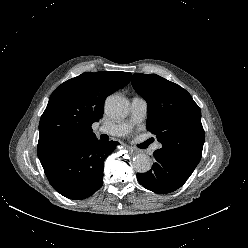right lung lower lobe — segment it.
Here are the masks:
<instances>
[{
  "label": "right lung lower lobe",
  "mask_w": 248,
  "mask_h": 248,
  "mask_svg": "<svg viewBox=\"0 0 248 248\" xmlns=\"http://www.w3.org/2000/svg\"><path fill=\"white\" fill-rule=\"evenodd\" d=\"M116 141L96 136L72 139L41 161L52 187L61 195L81 200L94 194L103 184V164L116 148Z\"/></svg>",
  "instance_id": "obj_1"
}]
</instances>
